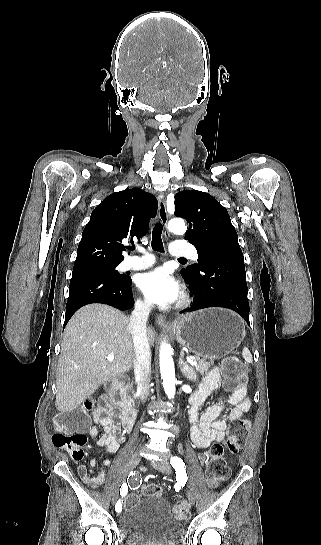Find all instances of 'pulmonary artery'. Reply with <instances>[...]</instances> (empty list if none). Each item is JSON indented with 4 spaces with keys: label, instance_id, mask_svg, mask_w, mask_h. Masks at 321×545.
Returning a JSON list of instances; mask_svg holds the SVG:
<instances>
[{
    "label": "pulmonary artery",
    "instance_id": "e3ab8cb5",
    "mask_svg": "<svg viewBox=\"0 0 321 545\" xmlns=\"http://www.w3.org/2000/svg\"><path fill=\"white\" fill-rule=\"evenodd\" d=\"M195 253V247L189 246L187 241H176L171 248V255L173 257H182L184 261H191L192 259L197 260L198 256ZM154 263V259L135 260L127 258L121 262L119 268L122 271L144 270L151 267Z\"/></svg>",
    "mask_w": 321,
    "mask_h": 545
}]
</instances>
